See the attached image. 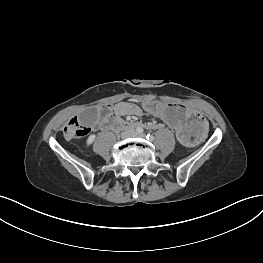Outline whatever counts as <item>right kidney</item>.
<instances>
[{
    "mask_svg": "<svg viewBox=\"0 0 263 263\" xmlns=\"http://www.w3.org/2000/svg\"><path fill=\"white\" fill-rule=\"evenodd\" d=\"M95 140V135H90L87 139V146H89L90 144L93 143V141Z\"/></svg>",
    "mask_w": 263,
    "mask_h": 263,
    "instance_id": "ca27d5eb",
    "label": "right kidney"
}]
</instances>
